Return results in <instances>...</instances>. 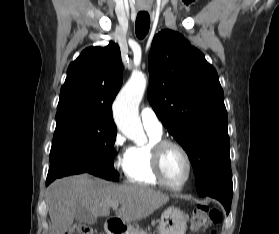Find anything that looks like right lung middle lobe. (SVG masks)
<instances>
[{
	"instance_id": "1",
	"label": "right lung middle lobe",
	"mask_w": 279,
	"mask_h": 234,
	"mask_svg": "<svg viewBox=\"0 0 279 234\" xmlns=\"http://www.w3.org/2000/svg\"><path fill=\"white\" fill-rule=\"evenodd\" d=\"M47 183L77 172L118 181L113 163L117 128L80 113L56 115Z\"/></svg>"
}]
</instances>
